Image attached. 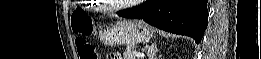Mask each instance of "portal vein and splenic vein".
<instances>
[{
    "label": "portal vein and splenic vein",
    "mask_w": 261,
    "mask_h": 59,
    "mask_svg": "<svg viewBox=\"0 0 261 59\" xmlns=\"http://www.w3.org/2000/svg\"><path fill=\"white\" fill-rule=\"evenodd\" d=\"M134 55L138 58L144 57V53L134 51Z\"/></svg>",
    "instance_id": "18ae733b"
}]
</instances>
